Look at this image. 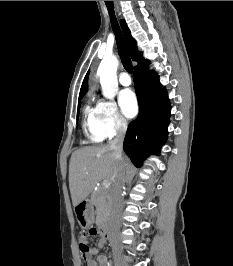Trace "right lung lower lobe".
Segmentation results:
<instances>
[{
  "label": "right lung lower lobe",
  "mask_w": 233,
  "mask_h": 266,
  "mask_svg": "<svg viewBox=\"0 0 233 266\" xmlns=\"http://www.w3.org/2000/svg\"><path fill=\"white\" fill-rule=\"evenodd\" d=\"M149 61L134 68V85L139 104L138 117L130 122L123 149L136 167L150 154H159L167 139L170 102L159 76L147 68Z\"/></svg>",
  "instance_id": "1"
}]
</instances>
